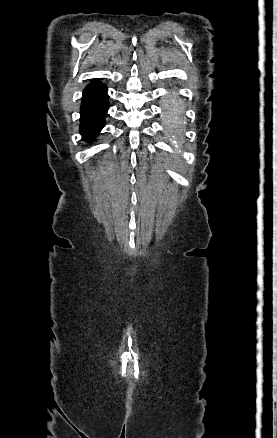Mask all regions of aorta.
Segmentation results:
<instances>
[{
	"label": "aorta",
	"mask_w": 277,
	"mask_h": 438,
	"mask_svg": "<svg viewBox=\"0 0 277 438\" xmlns=\"http://www.w3.org/2000/svg\"><path fill=\"white\" fill-rule=\"evenodd\" d=\"M181 122H182V121H181ZM180 124H181V123H180V121H179V125H180ZM167 126H168L169 128H172V126L174 127V124H173V125H172V124H171V125L169 124V125H167Z\"/></svg>",
	"instance_id": "obj_1"
}]
</instances>
